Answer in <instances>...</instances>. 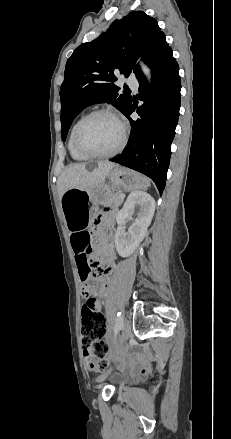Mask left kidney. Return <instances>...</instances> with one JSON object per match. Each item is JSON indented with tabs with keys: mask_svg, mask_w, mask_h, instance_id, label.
Here are the masks:
<instances>
[{
	"mask_svg": "<svg viewBox=\"0 0 231 439\" xmlns=\"http://www.w3.org/2000/svg\"><path fill=\"white\" fill-rule=\"evenodd\" d=\"M139 206V213L135 222L125 232L126 219L134 208ZM155 212V200L146 192L135 191L129 194L123 208L118 212L116 221L118 228L115 234V245L118 254L122 257L130 256L144 239Z\"/></svg>",
	"mask_w": 231,
	"mask_h": 439,
	"instance_id": "1",
	"label": "left kidney"
}]
</instances>
